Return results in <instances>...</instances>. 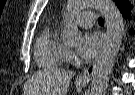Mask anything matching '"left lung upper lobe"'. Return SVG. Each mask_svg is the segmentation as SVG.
<instances>
[{"mask_svg":"<svg viewBox=\"0 0 135 95\" xmlns=\"http://www.w3.org/2000/svg\"><path fill=\"white\" fill-rule=\"evenodd\" d=\"M119 9L129 6L128 0H114Z\"/></svg>","mask_w":135,"mask_h":95,"instance_id":"obj_1","label":"left lung upper lobe"}]
</instances>
